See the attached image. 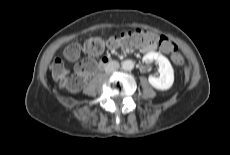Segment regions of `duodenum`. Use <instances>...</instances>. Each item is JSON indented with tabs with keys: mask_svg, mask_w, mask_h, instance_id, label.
Listing matches in <instances>:
<instances>
[{
	"mask_svg": "<svg viewBox=\"0 0 230 155\" xmlns=\"http://www.w3.org/2000/svg\"><path fill=\"white\" fill-rule=\"evenodd\" d=\"M110 62H111L110 58H108V57L102 58V60L100 61V64H99V68H103L104 66H106Z\"/></svg>",
	"mask_w": 230,
	"mask_h": 155,
	"instance_id": "410a0bca",
	"label": "duodenum"
}]
</instances>
